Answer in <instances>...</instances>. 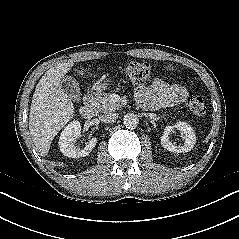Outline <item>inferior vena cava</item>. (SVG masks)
Returning <instances> with one entry per match:
<instances>
[{
	"instance_id": "602c4592",
	"label": "inferior vena cava",
	"mask_w": 239,
	"mask_h": 239,
	"mask_svg": "<svg viewBox=\"0 0 239 239\" xmlns=\"http://www.w3.org/2000/svg\"><path fill=\"white\" fill-rule=\"evenodd\" d=\"M118 115L113 112H106L99 116V119L104 123H112L117 119Z\"/></svg>"
}]
</instances>
